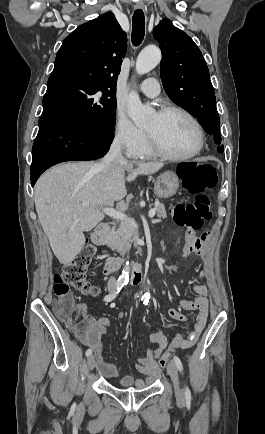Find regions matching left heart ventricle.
<instances>
[{"label": "left heart ventricle", "instance_id": "1", "mask_svg": "<svg viewBox=\"0 0 265 434\" xmlns=\"http://www.w3.org/2000/svg\"><path fill=\"white\" fill-rule=\"evenodd\" d=\"M145 129L153 134L159 146L175 155L187 154L197 144L195 127L184 114L177 111L164 116L156 113Z\"/></svg>", "mask_w": 265, "mask_h": 434}]
</instances>
